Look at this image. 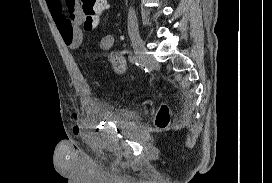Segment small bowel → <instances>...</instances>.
Returning <instances> with one entry per match:
<instances>
[{"instance_id":"obj_1","label":"small bowel","mask_w":272,"mask_h":183,"mask_svg":"<svg viewBox=\"0 0 272 183\" xmlns=\"http://www.w3.org/2000/svg\"><path fill=\"white\" fill-rule=\"evenodd\" d=\"M49 12L54 19L61 38L64 44L70 49H77L83 42V31L81 29L82 19L80 14L75 11L74 15L69 17L66 15V10L69 13L70 0H46ZM114 36L107 34L102 37L100 41V48L102 50H109L114 45ZM114 63L119 71L125 69V61L122 57L117 56L114 58ZM75 120L80 119V115L73 114Z\"/></svg>"}]
</instances>
